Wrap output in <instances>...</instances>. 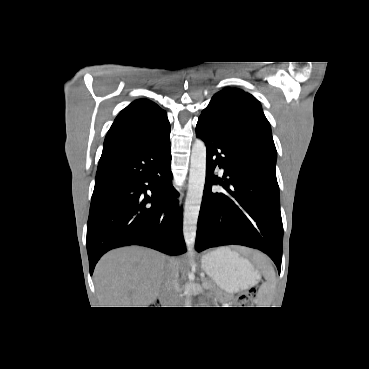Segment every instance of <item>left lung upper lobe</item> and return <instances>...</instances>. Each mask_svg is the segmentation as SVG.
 <instances>
[{"label":"left lung upper lobe","instance_id":"5c2ea615","mask_svg":"<svg viewBox=\"0 0 369 369\" xmlns=\"http://www.w3.org/2000/svg\"><path fill=\"white\" fill-rule=\"evenodd\" d=\"M199 118L210 121L234 143L256 152L275 173L277 153L270 124L251 94L226 88L212 97Z\"/></svg>","mask_w":369,"mask_h":369}]
</instances>
